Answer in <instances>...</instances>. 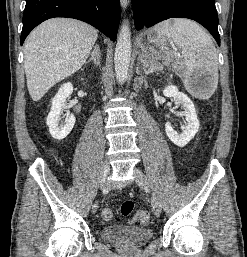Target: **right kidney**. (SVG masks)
<instances>
[{"mask_svg": "<svg viewBox=\"0 0 247 257\" xmlns=\"http://www.w3.org/2000/svg\"><path fill=\"white\" fill-rule=\"evenodd\" d=\"M72 92V84L66 83L59 88L58 93L52 99V107L47 116L46 124L51 136L56 140L64 139L74 127L76 119L73 114H68L64 123L59 122L63 109L67 108L66 99Z\"/></svg>", "mask_w": 247, "mask_h": 257, "instance_id": "right-kidney-1", "label": "right kidney"}]
</instances>
